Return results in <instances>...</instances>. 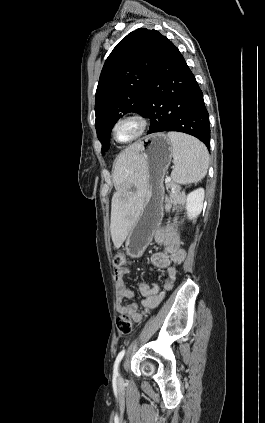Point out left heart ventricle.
Masks as SVG:
<instances>
[{
	"label": "left heart ventricle",
	"mask_w": 265,
	"mask_h": 423,
	"mask_svg": "<svg viewBox=\"0 0 265 423\" xmlns=\"http://www.w3.org/2000/svg\"><path fill=\"white\" fill-rule=\"evenodd\" d=\"M136 131V125L133 123H126L121 125L117 130V135L120 140H127L131 138Z\"/></svg>",
	"instance_id": "b2bd125f"
}]
</instances>
